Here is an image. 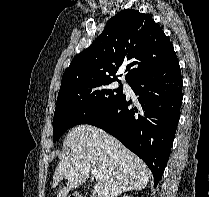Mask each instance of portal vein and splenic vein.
I'll return each instance as SVG.
<instances>
[{"label": "portal vein and splenic vein", "mask_w": 209, "mask_h": 197, "mask_svg": "<svg viewBox=\"0 0 209 197\" xmlns=\"http://www.w3.org/2000/svg\"><path fill=\"white\" fill-rule=\"evenodd\" d=\"M91 172H92V175L97 179H101L103 177L102 173L97 168H93Z\"/></svg>", "instance_id": "18ae733b"}]
</instances>
